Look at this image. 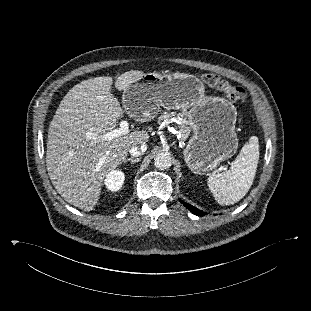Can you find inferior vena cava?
Wrapping results in <instances>:
<instances>
[{
    "mask_svg": "<svg viewBox=\"0 0 311 311\" xmlns=\"http://www.w3.org/2000/svg\"><path fill=\"white\" fill-rule=\"evenodd\" d=\"M147 150V144L142 143L140 147L133 146L130 148L129 152L132 156H140Z\"/></svg>",
    "mask_w": 311,
    "mask_h": 311,
    "instance_id": "inferior-vena-cava-1",
    "label": "inferior vena cava"
}]
</instances>
